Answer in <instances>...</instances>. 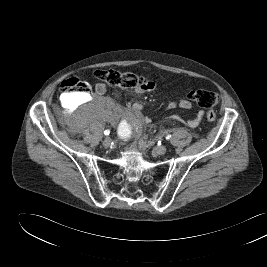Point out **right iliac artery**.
I'll return each instance as SVG.
<instances>
[{
  "instance_id": "obj_1",
  "label": "right iliac artery",
  "mask_w": 267,
  "mask_h": 267,
  "mask_svg": "<svg viewBox=\"0 0 267 267\" xmlns=\"http://www.w3.org/2000/svg\"><path fill=\"white\" fill-rule=\"evenodd\" d=\"M104 134H105V135H109V134H110V131H109V130H105V131H104Z\"/></svg>"
}]
</instances>
